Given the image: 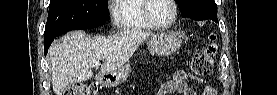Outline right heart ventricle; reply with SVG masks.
<instances>
[{"label": "right heart ventricle", "mask_w": 277, "mask_h": 95, "mask_svg": "<svg viewBox=\"0 0 277 95\" xmlns=\"http://www.w3.org/2000/svg\"><path fill=\"white\" fill-rule=\"evenodd\" d=\"M147 0H117L115 24L124 31L150 29L152 26L144 16Z\"/></svg>", "instance_id": "e07e8e85"}]
</instances>
